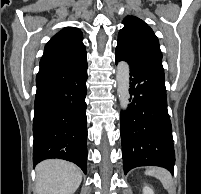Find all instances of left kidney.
<instances>
[{
  "label": "left kidney",
  "instance_id": "1",
  "mask_svg": "<svg viewBox=\"0 0 201 194\" xmlns=\"http://www.w3.org/2000/svg\"><path fill=\"white\" fill-rule=\"evenodd\" d=\"M143 194H154V192H153V190L150 187L145 186L143 188Z\"/></svg>",
  "mask_w": 201,
  "mask_h": 194
}]
</instances>
